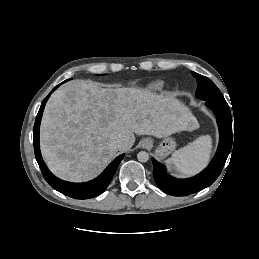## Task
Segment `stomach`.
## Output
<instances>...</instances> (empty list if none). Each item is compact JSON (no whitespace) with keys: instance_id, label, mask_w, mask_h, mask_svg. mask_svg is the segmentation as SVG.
I'll use <instances>...</instances> for the list:
<instances>
[{"instance_id":"stomach-1","label":"stomach","mask_w":259,"mask_h":259,"mask_svg":"<svg viewBox=\"0 0 259 259\" xmlns=\"http://www.w3.org/2000/svg\"><path fill=\"white\" fill-rule=\"evenodd\" d=\"M176 148V142L171 137H165L158 145L155 155L159 159H163L172 153Z\"/></svg>"}]
</instances>
